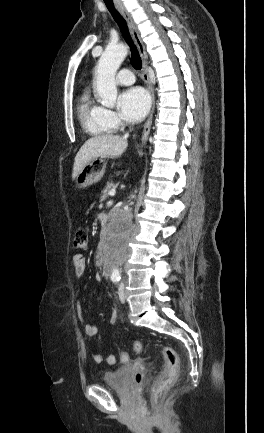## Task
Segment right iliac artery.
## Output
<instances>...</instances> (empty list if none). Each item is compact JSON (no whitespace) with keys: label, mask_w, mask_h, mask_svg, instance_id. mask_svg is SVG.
Listing matches in <instances>:
<instances>
[{"label":"right iliac artery","mask_w":264,"mask_h":433,"mask_svg":"<svg viewBox=\"0 0 264 433\" xmlns=\"http://www.w3.org/2000/svg\"><path fill=\"white\" fill-rule=\"evenodd\" d=\"M112 280H113V281L115 282V281H119V280H120V278H118V277H115V278H113Z\"/></svg>","instance_id":"82829eb1"}]
</instances>
